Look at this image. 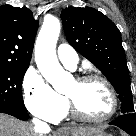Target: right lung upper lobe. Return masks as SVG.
<instances>
[{
	"instance_id": "1",
	"label": "right lung upper lobe",
	"mask_w": 136,
	"mask_h": 136,
	"mask_svg": "<svg viewBox=\"0 0 136 136\" xmlns=\"http://www.w3.org/2000/svg\"><path fill=\"white\" fill-rule=\"evenodd\" d=\"M37 28L28 8L0 6V66H29Z\"/></svg>"
}]
</instances>
